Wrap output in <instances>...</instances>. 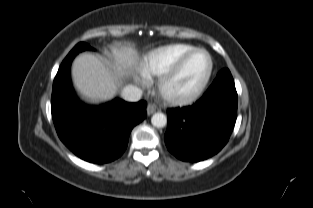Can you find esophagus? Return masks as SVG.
<instances>
[{
  "instance_id": "esophagus-1",
  "label": "esophagus",
  "mask_w": 313,
  "mask_h": 208,
  "mask_svg": "<svg viewBox=\"0 0 313 208\" xmlns=\"http://www.w3.org/2000/svg\"><path fill=\"white\" fill-rule=\"evenodd\" d=\"M157 111V106L155 104H149L147 106V114L151 115Z\"/></svg>"
}]
</instances>
